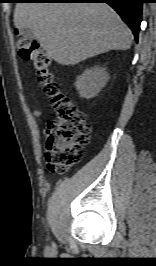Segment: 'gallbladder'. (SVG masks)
I'll return each instance as SVG.
<instances>
[{
    "label": "gallbladder",
    "instance_id": "gallbladder-1",
    "mask_svg": "<svg viewBox=\"0 0 156 266\" xmlns=\"http://www.w3.org/2000/svg\"><path fill=\"white\" fill-rule=\"evenodd\" d=\"M22 34L27 38H34L35 35L33 31L30 28H24L22 29Z\"/></svg>",
    "mask_w": 156,
    "mask_h": 266
}]
</instances>
